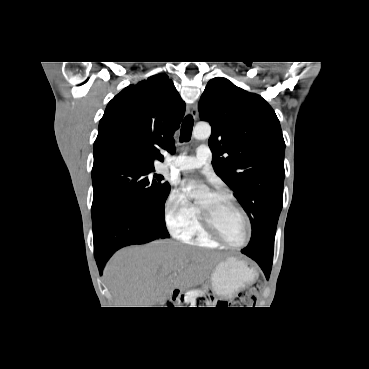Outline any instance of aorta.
<instances>
[{"mask_svg": "<svg viewBox=\"0 0 369 369\" xmlns=\"http://www.w3.org/2000/svg\"><path fill=\"white\" fill-rule=\"evenodd\" d=\"M192 135L195 139H207L211 135V126L207 123H198L192 132ZM207 191V187L205 185H193L191 189L188 191V195L193 198L201 197Z\"/></svg>", "mask_w": 369, "mask_h": 369, "instance_id": "1", "label": "aorta"}]
</instances>
